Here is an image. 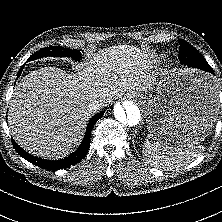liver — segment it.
Returning a JSON list of instances; mask_svg holds the SVG:
<instances>
[{
  "label": "liver",
  "instance_id": "liver-1",
  "mask_svg": "<svg viewBox=\"0 0 222 222\" xmlns=\"http://www.w3.org/2000/svg\"><path fill=\"white\" fill-rule=\"evenodd\" d=\"M154 68L139 48L119 45L99 51L74 74L55 67L32 71L14 89L8 111L11 134L35 156L64 158L81 142L89 102L150 92L157 81Z\"/></svg>",
  "mask_w": 222,
  "mask_h": 222
}]
</instances>
